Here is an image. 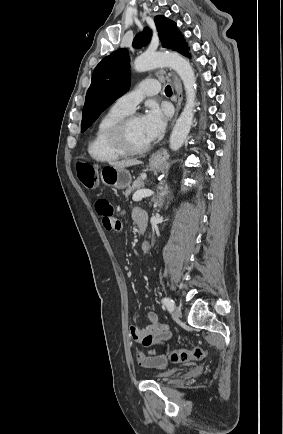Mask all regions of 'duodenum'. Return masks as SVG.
<instances>
[{
    "label": "duodenum",
    "mask_w": 283,
    "mask_h": 434,
    "mask_svg": "<svg viewBox=\"0 0 283 434\" xmlns=\"http://www.w3.org/2000/svg\"><path fill=\"white\" fill-rule=\"evenodd\" d=\"M138 227H139L140 233H141L142 235H144V233H145V231H146V227H147V222H145V221H140V222L138 223Z\"/></svg>",
    "instance_id": "410a0bca"
}]
</instances>
